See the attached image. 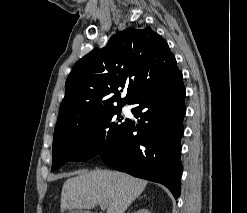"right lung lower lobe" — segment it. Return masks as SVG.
<instances>
[{
  "mask_svg": "<svg viewBox=\"0 0 247 213\" xmlns=\"http://www.w3.org/2000/svg\"><path fill=\"white\" fill-rule=\"evenodd\" d=\"M185 93L177 66L144 87L128 103L138 105L132 113L140 117V126L128 120L114 147L100 153L103 162L118 171L161 183L177 199L181 193Z\"/></svg>",
  "mask_w": 247,
  "mask_h": 213,
  "instance_id": "98d812e1",
  "label": "right lung lower lobe"
}]
</instances>
